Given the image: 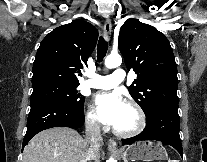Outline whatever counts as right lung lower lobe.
Here are the masks:
<instances>
[{
  "label": "right lung lower lobe",
  "mask_w": 207,
  "mask_h": 162,
  "mask_svg": "<svg viewBox=\"0 0 207 162\" xmlns=\"http://www.w3.org/2000/svg\"><path fill=\"white\" fill-rule=\"evenodd\" d=\"M27 120V132L23 146L37 133L53 127L80 128L84 123V109L72 108L56 100L31 102Z\"/></svg>",
  "instance_id": "right-lung-lower-lobe-1"
}]
</instances>
